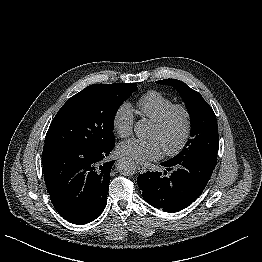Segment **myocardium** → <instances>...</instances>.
Segmentation results:
<instances>
[{"label": "myocardium", "instance_id": "myocardium-1", "mask_svg": "<svg viewBox=\"0 0 262 262\" xmlns=\"http://www.w3.org/2000/svg\"><path fill=\"white\" fill-rule=\"evenodd\" d=\"M176 112H181L184 115L185 131L181 141L178 143L177 146L169 150H164L165 155L169 157H173L180 154L187 147L193 131L192 113L185 104H173L170 108H168L165 111V113L158 120L154 122V125L157 128L163 130L169 125L173 115Z\"/></svg>", "mask_w": 262, "mask_h": 262}]
</instances>
